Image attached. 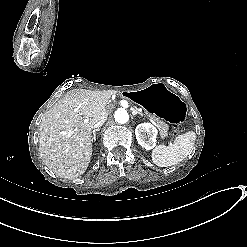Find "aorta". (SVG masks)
<instances>
[{
    "mask_svg": "<svg viewBox=\"0 0 247 247\" xmlns=\"http://www.w3.org/2000/svg\"><path fill=\"white\" fill-rule=\"evenodd\" d=\"M114 118L117 123L125 124L129 120V115L125 109L120 108L115 112Z\"/></svg>",
    "mask_w": 247,
    "mask_h": 247,
    "instance_id": "762f6f07",
    "label": "aorta"
}]
</instances>
